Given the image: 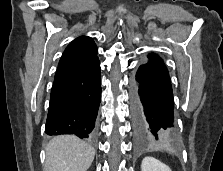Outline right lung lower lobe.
<instances>
[{
    "label": "right lung lower lobe",
    "mask_w": 223,
    "mask_h": 171,
    "mask_svg": "<svg viewBox=\"0 0 223 171\" xmlns=\"http://www.w3.org/2000/svg\"><path fill=\"white\" fill-rule=\"evenodd\" d=\"M99 59L78 70L55 77L45 132L74 134L94 140L95 120L101 100Z\"/></svg>",
    "instance_id": "1"
}]
</instances>
